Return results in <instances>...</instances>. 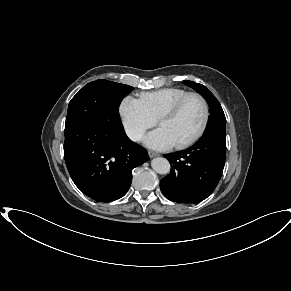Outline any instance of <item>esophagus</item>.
<instances>
[{
  "instance_id": "obj_1",
  "label": "esophagus",
  "mask_w": 291,
  "mask_h": 291,
  "mask_svg": "<svg viewBox=\"0 0 291 291\" xmlns=\"http://www.w3.org/2000/svg\"><path fill=\"white\" fill-rule=\"evenodd\" d=\"M148 155L152 158V157L159 156V153L154 152V151H148Z\"/></svg>"
}]
</instances>
